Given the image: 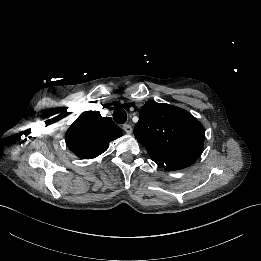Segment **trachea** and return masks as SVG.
<instances>
[{
    "label": "trachea",
    "instance_id": "3493384b",
    "mask_svg": "<svg viewBox=\"0 0 261 261\" xmlns=\"http://www.w3.org/2000/svg\"><path fill=\"white\" fill-rule=\"evenodd\" d=\"M113 119L118 124H124L127 120L126 111L121 107H117L113 112Z\"/></svg>",
    "mask_w": 261,
    "mask_h": 261
}]
</instances>
